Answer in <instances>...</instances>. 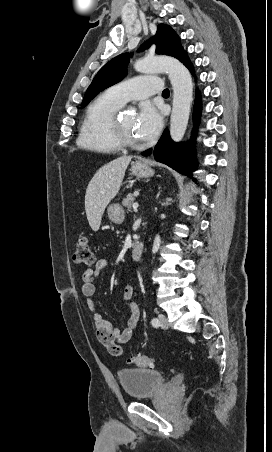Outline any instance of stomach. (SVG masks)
<instances>
[{"label": "stomach", "mask_w": 272, "mask_h": 452, "mask_svg": "<svg viewBox=\"0 0 272 452\" xmlns=\"http://www.w3.org/2000/svg\"><path fill=\"white\" fill-rule=\"evenodd\" d=\"M131 174L138 178H149L153 176L154 170L146 160H136L131 163ZM110 221L120 224L125 218V212L119 204H111L107 208Z\"/></svg>", "instance_id": "1"}]
</instances>
